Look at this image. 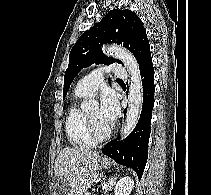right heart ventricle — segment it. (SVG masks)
<instances>
[{"label": "right heart ventricle", "mask_w": 211, "mask_h": 195, "mask_svg": "<svg viewBox=\"0 0 211 195\" xmlns=\"http://www.w3.org/2000/svg\"><path fill=\"white\" fill-rule=\"evenodd\" d=\"M86 96L75 92V100L70 105L66 120L65 130L69 141L77 148H91L94 141L88 134L85 113L80 109L79 102Z\"/></svg>", "instance_id": "e07e8e85"}]
</instances>
